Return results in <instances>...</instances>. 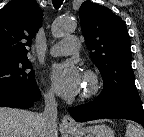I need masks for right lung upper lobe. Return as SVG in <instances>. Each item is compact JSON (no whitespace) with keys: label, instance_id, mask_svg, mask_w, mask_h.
Returning a JSON list of instances; mask_svg holds the SVG:
<instances>
[{"label":"right lung upper lobe","instance_id":"obj_1","mask_svg":"<svg viewBox=\"0 0 144 137\" xmlns=\"http://www.w3.org/2000/svg\"><path fill=\"white\" fill-rule=\"evenodd\" d=\"M42 16L35 0H12L0 10V64L27 57Z\"/></svg>","mask_w":144,"mask_h":137}]
</instances>
